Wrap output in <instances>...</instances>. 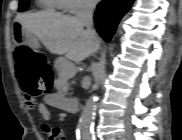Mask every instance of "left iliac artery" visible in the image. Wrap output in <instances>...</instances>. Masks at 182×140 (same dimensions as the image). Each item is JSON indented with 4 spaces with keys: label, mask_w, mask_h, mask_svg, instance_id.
Segmentation results:
<instances>
[{
    "label": "left iliac artery",
    "mask_w": 182,
    "mask_h": 140,
    "mask_svg": "<svg viewBox=\"0 0 182 140\" xmlns=\"http://www.w3.org/2000/svg\"><path fill=\"white\" fill-rule=\"evenodd\" d=\"M92 140H96L95 136L92 137Z\"/></svg>",
    "instance_id": "obj_1"
}]
</instances>
